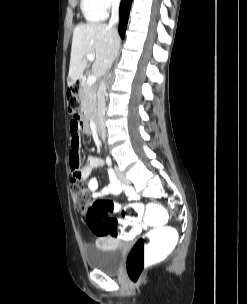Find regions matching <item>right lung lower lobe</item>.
Segmentation results:
<instances>
[{"mask_svg":"<svg viewBox=\"0 0 247 304\" xmlns=\"http://www.w3.org/2000/svg\"><path fill=\"white\" fill-rule=\"evenodd\" d=\"M132 0H122L120 3L119 15H120V23H119V34L123 38L125 34V29L128 22L129 10L131 6Z\"/></svg>","mask_w":247,"mask_h":304,"instance_id":"1","label":"right lung lower lobe"}]
</instances>
